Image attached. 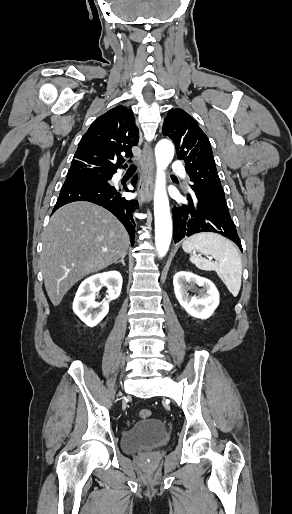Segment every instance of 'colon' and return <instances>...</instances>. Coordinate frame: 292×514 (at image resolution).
<instances>
[{"mask_svg": "<svg viewBox=\"0 0 292 514\" xmlns=\"http://www.w3.org/2000/svg\"><path fill=\"white\" fill-rule=\"evenodd\" d=\"M138 415L141 419L143 420H148L151 418V411L148 410V409H140L139 412H138Z\"/></svg>", "mask_w": 292, "mask_h": 514, "instance_id": "obj_1", "label": "colon"}]
</instances>
